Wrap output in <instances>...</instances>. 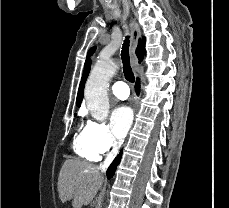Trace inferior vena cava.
<instances>
[{
	"label": "inferior vena cava",
	"mask_w": 229,
	"mask_h": 208,
	"mask_svg": "<svg viewBox=\"0 0 229 208\" xmlns=\"http://www.w3.org/2000/svg\"><path fill=\"white\" fill-rule=\"evenodd\" d=\"M115 156L114 154H111V156H108V158H106L105 162H104V166H107V164H111V162H113ZM101 170H103V168H101Z\"/></svg>",
	"instance_id": "1"
}]
</instances>
